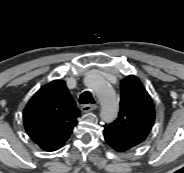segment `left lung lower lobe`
<instances>
[{
	"label": "left lung lower lobe",
	"instance_id": "obj_1",
	"mask_svg": "<svg viewBox=\"0 0 184 173\" xmlns=\"http://www.w3.org/2000/svg\"><path fill=\"white\" fill-rule=\"evenodd\" d=\"M103 135H104V139L106 143L115 151L124 152L130 149L126 144H124L122 141L117 139L115 136H113L109 132L104 131Z\"/></svg>",
	"mask_w": 184,
	"mask_h": 173
}]
</instances>
